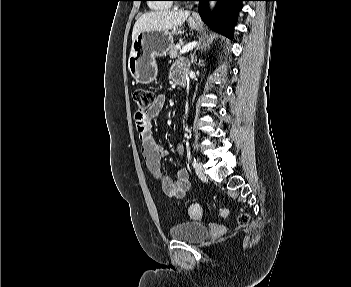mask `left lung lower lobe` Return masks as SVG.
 Wrapping results in <instances>:
<instances>
[{
  "label": "left lung lower lobe",
  "mask_w": 351,
  "mask_h": 287,
  "mask_svg": "<svg viewBox=\"0 0 351 287\" xmlns=\"http://www.w3.org/2000/svg\"><path fill=\"white\" fill-rule=\"evenodd\" d=\"M199 1V14L202 20L218 33L232 38L241 2L247 0H191ZM217 1L214 13L209 18L208 2Z\"/></svg>",
  "instance_id": "obj_1"
}]
</instances>
